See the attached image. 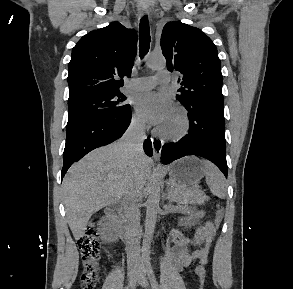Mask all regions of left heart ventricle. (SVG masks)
<instances>
[{"label": "left heart ventricle", "mask_w": 293, "mask_h": 289, "mask_svg": "<svg viewBox=\"0 0 293 289\" xmlns=\"http://www.w3.org/2000/svg\"><path fill=\"white\" fill-rule=\"evenodd\" d=\"M181 119L179 115L173 111L170 117L160 126L166 132H174L180 128Z\"/></svg>", "instance_id": "obj_1"}]
</instances>
